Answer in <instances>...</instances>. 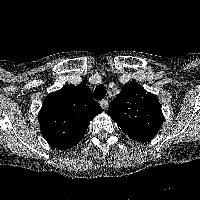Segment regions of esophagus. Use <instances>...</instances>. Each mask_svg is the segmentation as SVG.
<instances>
[{
  "label": "esophagus",
  "instance_id": "34e87169",
  "mask_svg": "<svg viewBox=\"0 0 200 200\" xmlns=\"http://www.w3.org/2000/svg\"><path fill=\"white\" fill-rule=\"evenodd\" d=\"M100 105L102 108L106 109L108 107V100L107 99H102L99 101Z\"/></svg>",
  "mask_w": 200,
  "mask_h": 200
}]
</instances>
